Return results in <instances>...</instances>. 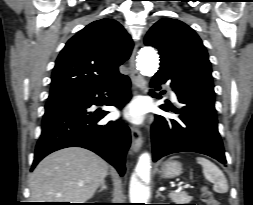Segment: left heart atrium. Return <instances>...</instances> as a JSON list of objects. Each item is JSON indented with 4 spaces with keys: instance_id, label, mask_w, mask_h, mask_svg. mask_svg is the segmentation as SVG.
Segmentation results:
<instances>
[{
    "instance_id": "left-heart-atrium-1",
    "label": "left heart atrium",
    "mask_w": 253,
    "mask_h": 205,
    "mask_svg": "<svg viewBox=\"0 0 253 205\" xmlns=\"http://www.w3.org/2000/svg\"><path fill=\"white\" fill-rule=\"evenodd\" d=\"M123 114L129 121L141 123L144 119L145 107L142 102L135 100L125 108Z\"/></svg>"
}]
</instances>
